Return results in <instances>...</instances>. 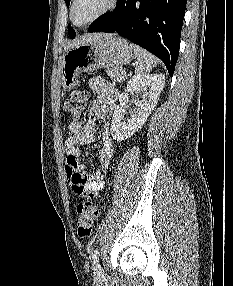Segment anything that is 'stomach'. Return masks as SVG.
<instances>
[{"instance_id":"obj_1","label":"stomach","mask_w":233,"mask_h":286,"mask_svg":"<svg viewBox=\"0 0 233 286\" xmlns=\"http://www.w3.org/2000/svg\"><path fill=\"white\" fill-rule=\"evenodd\" d=\"M133 58L129 43L112 34H102L90 41L68 48L61 61L63 90H71L78 84L82 72L99 68L122 67Z\"/></svg>"}]
</instances>
